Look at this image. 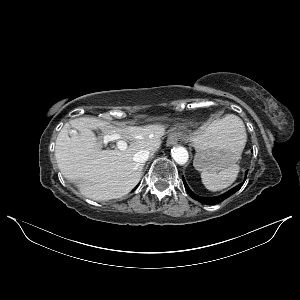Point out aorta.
Here are the masks:
<instances>
[{
    "label": "aorta",
    "mask_w": 300,
    "mask_h": 300,
    "mask_svg": "<svg viewBox=\"0 0 300 300\" xmlns=\"http://www.w3.org/2000/svg\"><path fill=\"white\" fill-rule=\"evenodd\" d=\"M171 156L177 164L183 165L188 161V151L182 146H176L171 150Z\"/></svg>",
    "instance_id": "1"
}]
</instances>
